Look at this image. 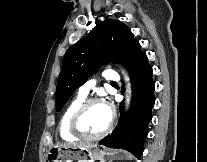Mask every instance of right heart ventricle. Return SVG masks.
I'll return each instance as SVG.
<instances>
[{
	"label": "right heart ventricle",
	"mask_w": 207,
	"mask_h": 162,
	"mask_svg": "<svg viewBox=\"0 0 207 162\" xmlns=\"http://www.w3.org/2000/svg\"><path fill=\"white\" fill-rule=\"evenodd\" d=\"M85 99L86 97L79 94L68 104L63 114L61 115L58 130L60 137L64 141L72 142L78 140V137L74 136L69 130V121L74 111L80 106L81 103L85 101Z\"/></svg>",
	"instance_id": "obj_1"
}]
</instances>
